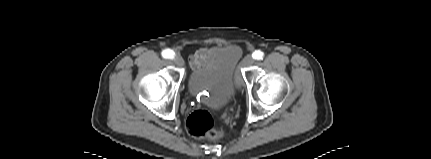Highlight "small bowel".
<instances>
[{
    "instance_id": "1",
    "label": "small bowel",
    "mask_w": 431,
    "mask_h": 159,
    "mask_svg": "<svg viewBox=\"0 0 431 159\" xmlns=\"http://www.w3.org/2000/svg\"><path fill=\"white\" fill-rule=\"evenodd\" d=\"M211 51L209 49H200L197 52H195L191 58L190 63L193 68H200L202 67L210 58Z\"/></svg>"
}]
</instances>
